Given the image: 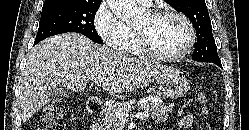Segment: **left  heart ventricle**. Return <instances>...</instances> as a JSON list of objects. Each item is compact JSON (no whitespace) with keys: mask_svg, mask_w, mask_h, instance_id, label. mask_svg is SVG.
I'll use <instances>...</instances> for the list:
<instances>
[{"mask_svg":"<svg viewBox=\"0 0 249 130\" xmlns=\"http://www.w3.org/2000/svg\"><path fill=\"white\" fill-rule=\"evenodd\" d=\"M137 29L147 35L155 51L167 55L180 51L189 37L186 25L173 16L152 19L148 14L139 23Z\"/></svg>","mask_w":249,"mask_h":130,"instance_id":"left-heart-ventricle-1","label":"left heart ventricle"}]
</instances>
